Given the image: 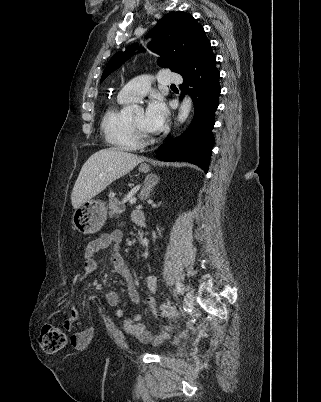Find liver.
Instances as JSON below:
<instances>
[{"label": "liver", "mask_w": 321, "mask_h": 402, "mask_svg": "<svg viewBox=\"0 0 321 402\" xmlns=\"http://www.w3.org/2000/svg\"><path fill=\"white\" fill-rule=\"evenodd\" d=\"M142 161V157L115 147L102 149L91 155L82 166L74 184L71 194L73 208H79Z\"/></svg>", "instance_id": "6515ba94"}]
</instances>
